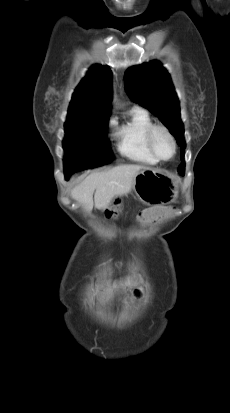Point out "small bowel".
<instances>
[{"label":"small bowel","mask_w":230,"mask_h":413,"mask_svg":"<svg viewBox=\"0 0 230 413\" xmlns=\"http://www.w3.org/2000/svg\"><path fill=\"white\" fill-rule=\"evenodd\" d=\"M174 212L172 205H147L145 209H141L139 212L140 219L137 224L140 227L145 226L148 223L149 227H158L159 223L163 221L169 214ZM144 218V219H143ZM121 284V286H123Z\"/></svg>","instance_id":"c3829d8e"}]
</instances>
